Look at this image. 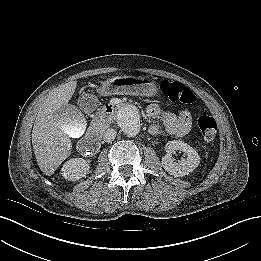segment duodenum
<instances>
[{
    "label": "duodenum",
    "mask_w": 261,
    "mask_h": 261,
    "mask_svg": "<svg viewBox=\"0 0 261 261\" xmlns=\"http://www.w3.org/2000/svg\"><path fill=\"white\" fill-rule=\"evenodd\" d=\"M115 119V111L113 107L106 106L104 114L101 118L95 120L94 127L89 131L87 136L79 143L78 150L82 154H92L97 152L101 147L100 130L104 128L106 122Z\"/></svg>",
    "instance_id": "duodenum-1"
}]
</instances>
